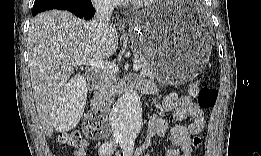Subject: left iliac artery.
Listing matches in <instances>:
<instances>
[{
	"instance_id": "44dca946",
	"label": "left iliac artery",
	"mask_w": 261,
	"mask_h": 156,
	"mask_svg": "<svg viewBox=\"0 0 261 156\" xmlns=\"http://www.w3.org/2000/svg\"><path fill=\"white\" fill-rule=\"evenodd\" d=\"M119 143L123 152V156L132 155L134 149V142L132 139H121Z\"/></svg>"
}]
</instances>
